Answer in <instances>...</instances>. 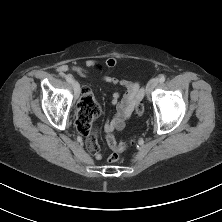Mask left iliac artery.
I'll use <instances>...</instances> for the list:
<instances>
[{"label":"left iliac artery","mask_w":222,"mask_h":222,"mask_svg":"<svg viewBox=\"0 0 222 222\" xmlns=\"http://www.w3.org/2000/svg\"><path fill=\"white\" fill-rule=\"evenodd\" d=\"M165 80H166V77H165V76H161V77L159 78V82H160V83H163Z\"/></svg>","instance_id":"left-iliac-artery-1"}]
</instances>
